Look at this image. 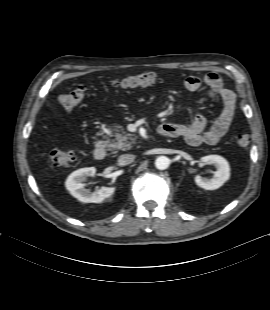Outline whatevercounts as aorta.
<instances>
[{"label":"aorta","mask_w":270,"mask_h":310,"mask_svg":"<svg viewBox=\"0 0 270 310\" xmlns=\"http://www.w3.org/2000/svg\"><path fill=\"white\" fill-rule=\"evenodd\" d=\"M169 159L166 156H159L155 160V166L159 170H165L169 166Z\"/></svg>","instance_id":"762f6f07"}]
</instances>
